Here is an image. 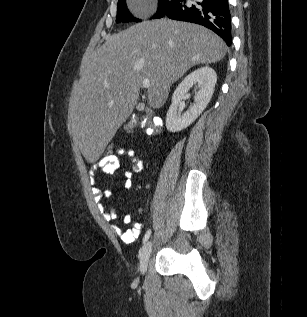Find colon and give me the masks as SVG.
I'll list each match as a JSON object with an SVG mask.
<instances>
[{
    "label": "colon",
    "instance_id": "colon-1",
    "mask_svg": "<svg viewBox=\"0 0 307 317\" xmlns=\"http://www.w3.org/2000/svg\"><path fill=\"white\" fill-rule=\"evenodd\" d=\"M161 123L151 118H132L125 126L129 135H133L137 126L141 127L148 135H158L161 131ZM121 147L115 144H107L101 153L100 159L114 158L118 155Z\"/></svg>",
    "mask_w": 307,
    "mask_h": 317
}]
</instances>
